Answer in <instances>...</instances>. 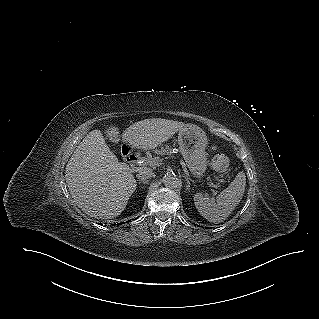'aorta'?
<instances>
[{
	"label": "aorta",
	"instance_id": "obj_1",
	"mask_svg": "<svg viewBox=\"0 0 319 319\" xmlns=\"http://www.w3.org/2000/svg\"><path fill=\"white\" fill-rule=\"evenodd\" d=\"M163 183L166 187L176 188L179 184L178 178L174 173H166L163 177Z\"/></svg>",
	"mask_w": 319,
	"mask_h": 319
}]
</instances>
